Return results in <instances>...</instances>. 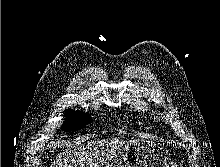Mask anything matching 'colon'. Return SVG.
Segmentation results:
<instances>
[{
    "label": "colon",
    "mask_w": 220,
    "mask_h": 167,
    "mask_svg": "<svg viewBox=\"0 0 220 167\" xmlns=\"http://www.w3.org/2000/svg\"><path fill=\"white\" fill-rule=\"evenodd\" d=\"M171 167H177L176 165H172Z\"/></svg>",
    "instance_id": "1"
}]
</instances>
